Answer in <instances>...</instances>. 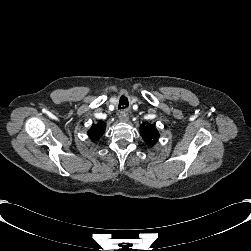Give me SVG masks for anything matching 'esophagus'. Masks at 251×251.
<instances>
[{
    "instance_id": "obj_1",
    "label": "esophagus",
    "mask_w": 251,
    "mask_h": 251,
    "mask_svg": "<svg viewBox=\"0 0 251 251\" xmlns=\"http://www.w3.org/2000/svg\"><path fill=\"white\" fill-rule=\"evenodd\" d=\"M119 120L121 122H127L129 120V116L125 111H122L119 115Z\"/></svg>"
}]
</instances>
